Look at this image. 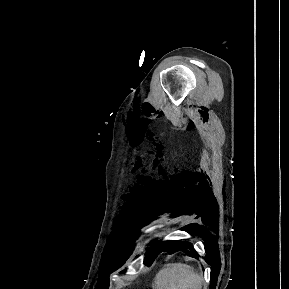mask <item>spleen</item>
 <instances>
[{
  "label": "spleen",
  "instance_id": "1",
  "mask_svg": "<svg viewBox=\"0 0 289 289\" xmlns=\"http://www.w3.org/2000/svg\"><path fill=\"white\" fill-rule=\"evenodd\" d=\"M202 283V276L193 267L170 263L157 273L153 289H202Z\"/></svg>",
  "mask_w": 289,
  "mask_h": 289
}]
</instances>
